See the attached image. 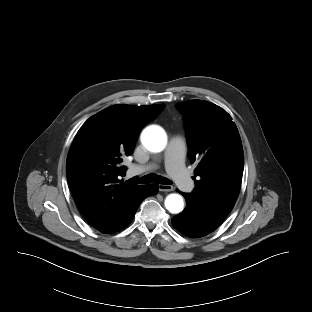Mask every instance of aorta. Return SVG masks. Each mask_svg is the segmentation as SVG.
<instances>
[{
    "label": "aorta",
    "mask_w": 312,
    "mask_h": 312,
    "mask_svg": "<svg viewBox=\"0 0 312 312\" xmlns=\"http://www.w3.org/2000/svg\"><path fill=\"white\" fill-rule=\"evenodd\" d=\"M166 134L157 126L147 127L142 135L141 142L150 152H161L166 146ZM183 198L178 194H170L165 199V207L170 213H179L183 210Z\"/></svg>",
    "instance_id": "1"
}]
</instances>
